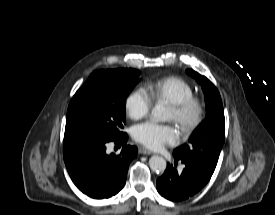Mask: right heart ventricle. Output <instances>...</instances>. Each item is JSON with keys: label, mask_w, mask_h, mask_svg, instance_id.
Listing matches in <instances>:
<instances>
[{"label": "right heart ventricle", "mask_w": 275, "mask_h": 215, "mask_svg": "<svg viewBox=\"0 0 275 215\" xmlns=\"http://www.w3.org/2000/svg\"><path fill=\"white\" fill-rule=\"evenodd\" d=\"M147 93L154 102L174 104L193 97L191 85L177 76L157 79L147 85Z\"/></svg>", "instance_id": "right-heart-ventricle-1"}]
</instances>
